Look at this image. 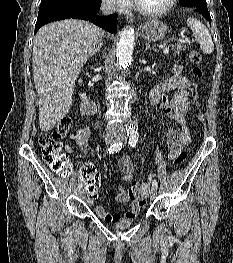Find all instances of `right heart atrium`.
<instances>
[{
    "label": "right heart atrium",
    "mask_w": 233,
    "mask_h": 263,
    "mask_svg": "<svg viewBox=\"0 0 233 263\" xmlns=\"http://www.w3.org/2000/svg\"><path fill=\"white\" fill-rule=\"evenodd\" d=\"M104 4L114 10L124 11L129 6V0H102Z\"/></svg>",
    "instance_id": "obj_1"
}]
</instances>
